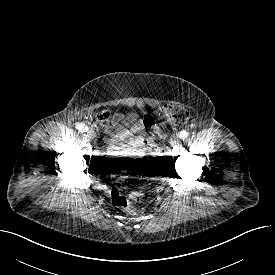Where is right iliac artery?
Instances as JSON below:
<instances>
[{
    "label": "right iliac artery",
    "mask_w": 275,
    "mask_h": 275,
    "mask_svg": "<svg viewBox=\"0 0 275 275\" xmlns=\"http://www.w3.org/2000/svg\"><path fill=\"white\" fill-rule=\"evenodd\" d=\"M76 128L80 131V132H85L87 131L88 127L84 124V123H79L76 125Z\"/></svg>",
    "instance_id": "right-iliac-artery-1"
}]
</instances>
